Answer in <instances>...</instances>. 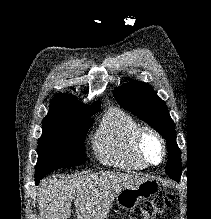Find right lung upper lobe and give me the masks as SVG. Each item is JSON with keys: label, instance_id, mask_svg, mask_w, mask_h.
<instances>
[{"label": "right lung upper lobe", "instance_id": "obj_1", "mask_svg": "<svg viewBox=\"0 0 211 219\" xmlns=\"http://www.w3.org/2000/svg\"><path fill=\"white\" fill-rule=\"evenodd\" d=\"M100 104L85 105L69 94H57L50 102L47 117L87 116L99 110Z\"/></svg>", "mask_w": 211, "mask_h": 219}]
</instances>
